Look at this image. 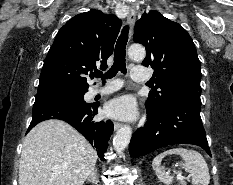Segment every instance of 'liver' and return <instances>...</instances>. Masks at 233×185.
<instances>
[{
	"label": "liver",
	"mask_w": 233,
	"mask_h": 185,
	"mask_svg": "<svg viewBox=\"0 0 233 185\" xmlns=\"http://www.w3.org/2000/svg\"><path fill=\"white\" fill-rule=\"evenodd\" d=\"M97 153L72 126L46 120L25 137L19 185H83L95 169Z\"/></svg>",
	"instance_id": "obj_1"
}]
</instances>
